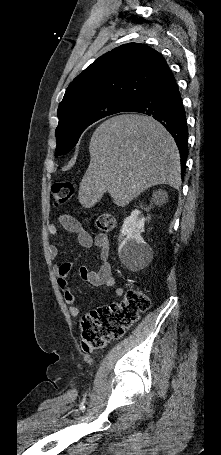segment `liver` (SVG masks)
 Returning <instances> with one entry per match:
<instances>
[{"instance_id":"1","label":"liver","mask_w":221,"mask_h":455,"mask_svg":"<svg viewBox=\"0 0 221 455\" xmlns=\"http://www.w3.org/2000/svg\"><path fill=\"white\" fill-rule=\"evenodd\" d=\"M90 164L79 186L78 199L91 208L108 192L120 207L151 186L181 185L180 155L170 133L151 117L121 114L94 131Z\"/></svg>"}]
</instances>
